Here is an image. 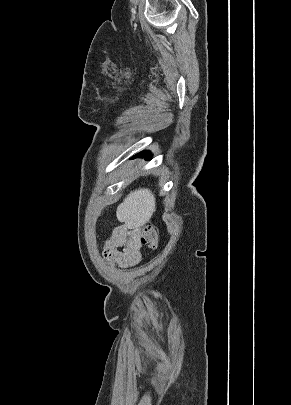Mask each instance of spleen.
I'll return each instance as SVG.
<instances>
[{
	"instance_id": "3e777b00",
	"label": "spleen",
	"mask_w": 291,
	"mask_h": 405,
	"mask_svg": "<svg viewBox=\"0 0 291 405\" xmlns=\"http://www.w3.org/2000/svg\"><path fill=\"white\" fill-rule=\"evenodd\" d=\"M155 212V197L149 189L130 192L117 208V217L123 221L146 223Z\"/></svg>"
}]
</instances>
